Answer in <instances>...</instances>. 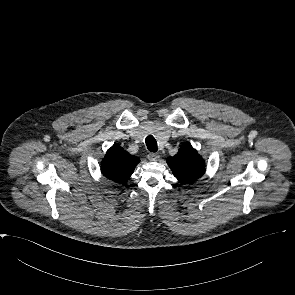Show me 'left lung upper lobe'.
Masks as SVG:
<instances>
[{
    "mask_svg": "<svg viewBox=\"0 0 295 295\" xmlns=\"http://www.w3.org/2000/svg\"><path fill=\"white\" fill-rule=\"evenodd\" d=\"M174 176L184 184L200 178L205 172L204 160L191 145H182L179 152L167 159Z\"/></svg>",
    "mask_w": 295,
    "mask_h": 295,
    "instance_id": "5c2ea615",
    "label": "left lung upper lobe"
}]
</instances>
